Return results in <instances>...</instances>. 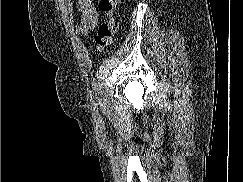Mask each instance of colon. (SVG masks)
I'll use <instances>...</instances> for the list:
<instances>
[{"mask_svg": "<svg viewBox=\"0 0 243 182\" xmlns=\"http://www.w3.org/2000/svg\"><path fill=\"white\" fill-rule=\"evenodd\" d=\"M123 0H99L98 8L105 15V20L101 22L95 34L96 49L104 51L112 42L115 33L114 11Z\"/></svg>", "mask_w": 243, "mask_h": 182, "instance_id": "1", "label": "colon"}]
</instances>
